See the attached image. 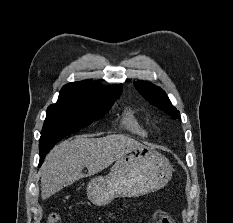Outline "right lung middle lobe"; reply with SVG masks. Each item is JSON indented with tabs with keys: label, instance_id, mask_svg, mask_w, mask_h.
I'll use <instances>...</instances> for the list:
<instances>
[{
	"label": "right lung middle lobe",
	"instance_id": "obj_1",
	"mask_svg": "<svg viewBox=\"0 0 233 223\" xmlns=\"http://www.w3.org/2000/svg\"><path fill=\"white\" fill-rule=\"evenodd\" d=\"M111 104H91L75 101H58L47 108L41 132L40 153L51 149L65 136L79 131L103 117Z\"/></svg>",
	"mask_w": 233,
	"mask_h": 223
}]
</instances>
